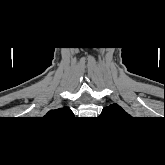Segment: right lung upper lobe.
<instances>
[{"instance_id":"right-lung-upper-lobe-1","label":"right lung upper lobe","mask_w":165,"mask_h":165,"mask_svg":"<svg viewBox=\"0 0 165 165\" xmlns=\"http://www.w3.org/2000/svg\"><path fill=\"white\" fill-rule=\"evenodd\" d=\"M73 115L72 111L69 108L63 107L55 110H50L45 117L49 118H63L66 116Z\"/></svg>"}]
</instances>
